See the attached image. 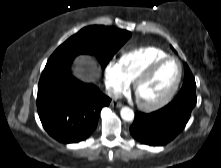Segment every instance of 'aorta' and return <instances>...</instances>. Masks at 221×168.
Listing matches in <instances>:
<instances>
[{"label":"aorta","instance_id":"obj_1","mask_svg":"<svg viewBox=\"0 0 221 168\" xmlns=\"http://www.w3.org/2000/svg\"><path fill=\"white\" fill-rule=\"evenodd\" d=\"M121 117L124 121H132L134 119V112L131 108L129 107H123L121 109Z\"/></svg>","mask_w":221,"mask_h":168}]
</instances>
